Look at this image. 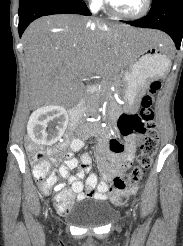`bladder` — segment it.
Returning <instances> with one entry per match:
<instances>
[{
    "label": "bladder",
    "mask_w": 183,
    "mask_h": 246,
    "mask_svg": "<svg viewBox=\"0 0 183 246\" xmlns=\"http://www.w3.org/2000/svg\"><path fill=\"white\" fill-rule=\"evenodd\" d=\"M96 201L97 203L72 215V221L83 227H97L106 224L114 216L115 209L105 200L96 199Z\"/></svg>",
    "instance_id": "obj_1"
}]
</instances>
